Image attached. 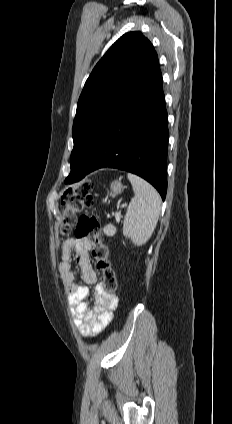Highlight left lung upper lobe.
I'll use <instances>...</instances> for the list:
<instances>
[{
	"label": "left lung upper lobe",
	"instance_id": "obj_1",
	"mask_svg": "<svg viewBox=\"0 0 232 424\" xmlns=\"http://www.w3.org/2000/svg\"><path fill=\"white\" fill-rule=\"evenodd\" d=\"M158 62L153 45L137 31L120 37L97 63L78 100L67 178L84 177L102 137Z\"/></svg>",
	"mask_w": 232,
	"mask_h": 424
}]
</instances>
